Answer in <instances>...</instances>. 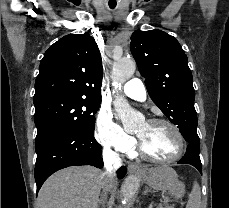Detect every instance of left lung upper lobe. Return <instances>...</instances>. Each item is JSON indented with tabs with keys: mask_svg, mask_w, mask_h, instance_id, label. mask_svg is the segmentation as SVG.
Returning a JSON list of instances; mask_svg holds the SVG:
<instances>
[{
	"mask_svg": "<svg viewBox=\"0 0 229 208\" xmlns=\"http://www.w3.org/2000/svg\"><path fill=\"white\" fill-rule=\"evenodd\" d=\"M130 49L153 102L181 133L196 130L193 78L179 42L161 30H137Z\"/></svg>",
	"mask_w": 229,
	"mask_h": 208,
	"instance_id": "5c2ea615",
	"label": "left lung upper lobe"
}]
</instances>
